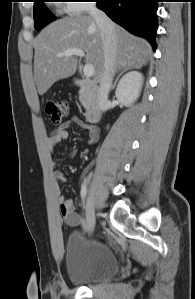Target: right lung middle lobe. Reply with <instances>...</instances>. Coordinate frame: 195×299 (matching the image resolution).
<instances>
[{
  "label": "right lung middle lobe",
  "instance_id": "right-lung-middle-lobe-1",
  "mask_svg": "<svg viewBox=\"0 0 195 299\" xmlns=\"http://www.w3.org/2000/svg\"><path fill=\"white\" fill-rule=\"evenodd\" d=\"M45 0H34V24L38 31L55 19L44 5Z\"/></svg>",
  "mask_w": 195,
  "mask_h": 299
}]
</instances>
